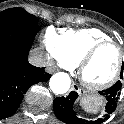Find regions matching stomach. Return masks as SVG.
Listing matches in <instances>:
<instances>
[{
  "instance_id": "obj_1",
  "label": "stomach",
  "mask_w": 124,
  "mask_h": 124,
  "mask_svg": "<svg viewBox=\"0 0 124 124\" xmlns=\"http://www.w3.org/2000/svg\"><path fill=\"white\" fill-rule=\"evenodd\" d=\"M88 100H90L93 103V107H95L94 103L96 105H98L99 104V101H100V100H97V99H88Z\"/></svg>"
}]
</instances>
